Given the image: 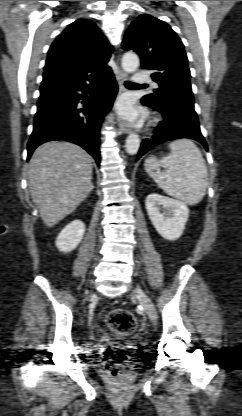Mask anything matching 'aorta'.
Listing matches in <instances>:
<instances>
[{"instance_id": "aorta-1", "label": "aorta", "mask_w": 242, "mask_h": 416, "mask_svg": "<svg viewBox=\"0 0 242 416\" xmlns=\"http://www.w3.org/2000/svg\"><path fill=\"white\" fill-rule=\"evenodd\" d=\"M139 58L133 52H127L122 57V68L127 73H133L139 67ZM140 147V138L136 133H131L126 139L125 148L128 154L134 155Z\"/></svg>"}]
</instances>
